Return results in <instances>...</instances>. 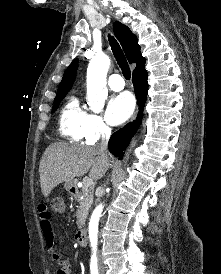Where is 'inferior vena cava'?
<instances>
[{"label":"inferior vena cava","instance_id":"1","mask_svg":"<svg viewBox=\"0 0 221 274\" xmlns=\"http://www.w3.org/2000/svg\"><path fill=\"white\" fill-rule=\"evenodd\" d=\"M111 135V129L109 127L104 128V135L102 136L101 142L97 145L102 156L107 157V145L108 139Z\"/></svg>","mask_w":221,"mask_h":274}]
</instances>
